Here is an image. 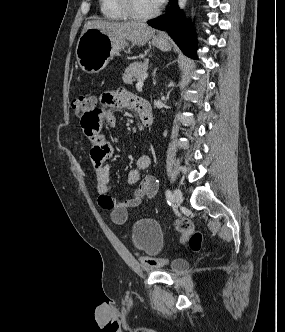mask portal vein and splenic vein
I'll list each match as a JSON object with an SVG mask.
<instances>
[{
  "label": "portal vein and splenic vein",
  "instance_id": "obj_1",
  "mask_svg": "<svg viewBox=\"0 0 285 332\" xmlns=\"http://www.w3.org/2000/svg\"><path fill=\"white\" fill-rule=\"evenodd\" d=\"M146 77H147V74L137 82V84H136L137 90L142 89V87L144 85V80L146 79Z\"/></svg>",
  "mask_w": 285,
  "mask_h": 332
}]
</instances>
